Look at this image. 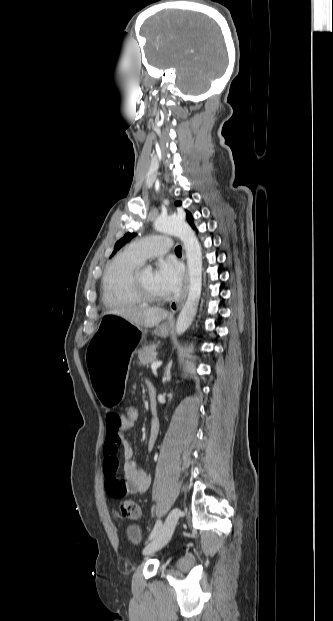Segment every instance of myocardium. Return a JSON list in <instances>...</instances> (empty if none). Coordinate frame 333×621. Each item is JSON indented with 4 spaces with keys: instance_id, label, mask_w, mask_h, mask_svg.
<instances>
[{
    "instance_id": "f54148a6",
    "label": "myocardium",
    "mask_w": 333,
    "mask_h": 621,
    "mask_svg": "<svg viewBox=\"0 0 333 621\" xmlns=\"http://www.w3.org/2000/svg\"><path fill=\"white\" fill-rule=\"evenodd\" d=\"M141 271L142 269H137L131 277L130 288L134 296L144 303L157 304L165 301L166 297L154 296L142 286L140 281Z\"/></svg>"
}]
</instances>
